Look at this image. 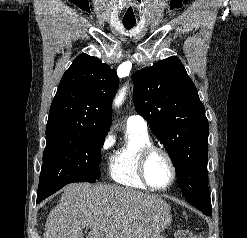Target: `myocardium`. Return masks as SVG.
<instances>
[{
  "label": "myocardium",
  "mask_w": 247,
  "mask_h": 238,
  "mask_svg": "<svg viewBox=\"0 0 247 238\" xmlns=\"http://www.w3.org/2000/svg\"><path fill=\"white\" fill-rule=\"evenodd\" d=\"M154 153H160L167 159L170 165V168H171V172H172L170 182L167 185L162 186V187H157V186L152 185L147 177V172H146L147 162L150 156ZM138 172H139L141 180L148 188L153 189V190H158V191L169 189L174 184L177 178V167H176V164H175V161L172 155L165 148L156 146L153 144L146 146L141 151V154L138 160Z\"/></svg>",
  "instance_id": "f54148a6"
}]
</instances>
